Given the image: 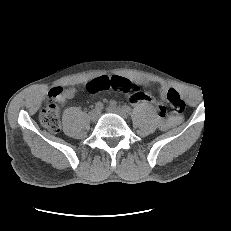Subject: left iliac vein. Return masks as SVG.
Returning <instances> with one entry per match:
<instances>
[{"label":"left iliac vein","instance_id":"4c4485c4","mask_svg":"<svg viewBox=\"0 0 231 231\" xmlns=\"http://www.w3.org/2000/svg\"><path fill=\"white\" fill-rule=\"evenodd\" d=\"M106 110L108 112H112V113L118 114V115H120L123 118H127V113L122 108H120L118 106L110 105V106H108L106 108Z\"/></svg>","mask_w":231,"mask_h":231}]
</instances>
